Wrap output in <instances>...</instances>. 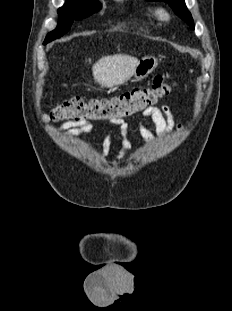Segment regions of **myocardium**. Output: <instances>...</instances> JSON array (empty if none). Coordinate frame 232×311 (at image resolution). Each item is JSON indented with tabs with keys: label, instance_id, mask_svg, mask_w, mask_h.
<instances>
[{
	"label": "myocardium",
	"instance_id": "obj_1",
	"mask_svg": "<svg viewBox=\"0 0 232 311\" xmlns=\"http://www.w3.org/2000/svg\"><path fill=\"white\" fill-rule=\"evenodd\" d=\"M155 15L160 20H167L169 18L168 11L163 7L157 8L155 11Z\"/></svg>",
	"mask_w": 232,
	"mask_h": 311
}]
</instances>
